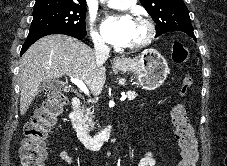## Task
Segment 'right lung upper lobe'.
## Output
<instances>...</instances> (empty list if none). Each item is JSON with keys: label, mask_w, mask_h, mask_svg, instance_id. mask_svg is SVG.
Here are the masks:
<instances>
[{"label": "right lung upper lobe", "mask_w": 227, "mask_h": 166, "mask_svg": "<svg viewBox=\"0 0 227 166\" xmlns=\"http://www.w3.org/2000/svg\"><path fill=\"white\" fill-rule=\"evenodd\" d=\"M39 4H73L86 6L85 0H36L35 5Z\"/></svg>", "instance_id": "obj_1"}]
</instances>
